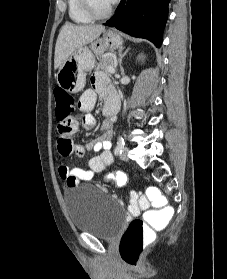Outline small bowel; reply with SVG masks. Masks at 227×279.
Segmentation results:
<instances>
[{"label": "small bowel", "instance_id": "c3829d8e", "mask_svg": "<svg viewBox=\"0 0 227 279\" xmlns=\"http://www.w3.org/2000/svg\"><path fill=\"white\" fill-rule=\"evenodd\" d=\"M91 89H87L79 98L78 106L81 112H91L101 96L106 102L113 100L118 103V97L114 89L109 85L108 78L104 74H95L91 78ZM80 123L85 130H91L95 126V119L91 115L80 118ZM78 120L73 122L72 130L77 129ZM102 134L99 139L88 142L85 145L74 144L69 138V133H62L59 138L58 151L61 156H68L72 152L78 157H84L87 151H101L100 155L88 161V169L62 165L59 168V176L68 185H74L80 181L91 180L95 173L104 171L114 162V155L110 148L112 146V120L108 119L102 123ZM150 207V202L145 196L132 199L128 208L129 214H138Z\"/></svg>", "mask_w": 227, "mask_h": 279}]
</instances>
